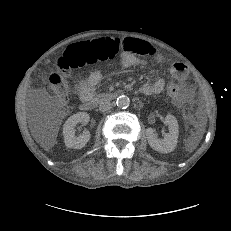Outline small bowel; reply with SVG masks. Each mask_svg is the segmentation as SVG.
Instances as JSON below:
<instances>
[{
    "mask_svg": "<svg viewBox=\"0 0 231 231\" xmlns=\"http://www.w3.org/2000/svg\"><path fill=\"white\" fill-rule=\"evenodd\" d=\"M123 52L119 62L125 67L144 66L147 62L143 56L151 55L157 62H162L163 58L148 42L127 37L121 41ZM164 66L170 69L173 78L178 82L184 83L187 80L188 73L186 66L175 62L174 58L167 57L164 60ZM102 74L100 71H93L85 80L78 84V93L82 100L92 98L95 94L96 86L101 82ZM165 82L157 78L151 82H146L141 86V92L145 95H154L163 91Z\"/></svg>",
    "mask_w": 231,
    "mask_h": 231,
    "instance_id": "small-bowel-1",
    "label": "small bowel"
}]
</instances>
